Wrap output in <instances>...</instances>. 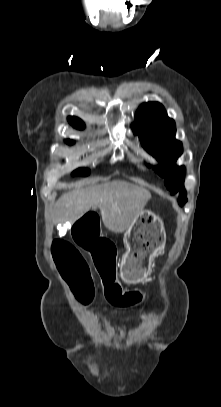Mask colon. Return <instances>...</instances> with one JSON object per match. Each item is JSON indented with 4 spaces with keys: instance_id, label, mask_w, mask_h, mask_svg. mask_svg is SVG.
Returning <instances> with one entry per match:
<instances>
[{
    "instance_id": "obj_1",
    "label": "colon",
    "mask_w": 221,
    "mask_h": 407,
    "mask_svg": "<svg viewBox=\"0 0 221 407\" xmlns=\"http://www.w3.org/2000/svg\"><path fill=\"white\" fill-rule=\"evenodd\" d=\"M99 223L97 212L86 210L84 216H77V220H74L72 239H77L83 248L91 252L108 306H115L117 311H128L137 303L143 306L146 300L135 286H128L123 292L117 283L114 247L109 240L103 238L104 232ZM53 256L59 271L75 294L84 303H89L94 296V284L89 266L80 252L68 242L55 241ZM144 297H147V294H144Z\"/></svg>"
}]
</instances>
